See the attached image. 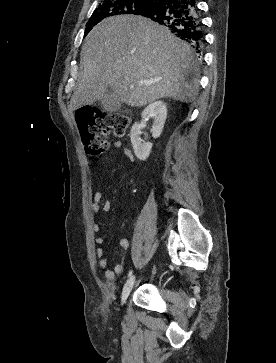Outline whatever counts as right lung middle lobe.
<instances>
[{
  "label": "right lung middle lobe",
  "mask_w": 276,
  "mask_h": 363,
  "mask_svg": "<svg viewBox=\"0 0 276 363\" xmlns=\"http://www.w3.org/2000/svg\"><path fill=\"white\" fill-rule=\"evenodd\" d=\"M155 2L153 0H102L88 20L85 36L102 20L116 15H141Z\"/></svg>",
  "instance_id": "1"
}]
</instances>
